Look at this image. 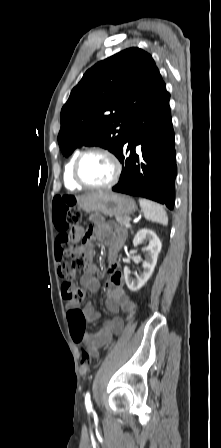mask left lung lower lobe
<instances>
[{
  "label": "left lung lower lobe",
  "mask_w": 221,
  "mask_h": 448,
  "mask_svg": "<svg viewBox=\"0 0 221 448\" xmlns=\"http://www.w3.org/2000/svg\"><path fill=\"white\" fill-rule=\"evenodd\" d=\"M169 99L165 88L131 123L117 156L122 163L121 177L112 190L149 198L172 210L177 166ZM136 145H141V159L135 152Z\"/></svg>",
  "instance_id": "left-lung-lower-lobe-1"
}]
</instances>
